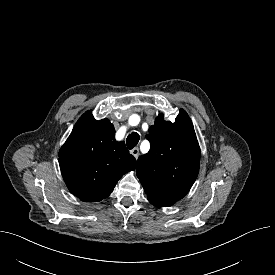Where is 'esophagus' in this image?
I'll use <instances>...</instances> for the list:
<instances>
[{
	"label": "esophagus",
	"mask_w": 275,
	"mask_h": 275,
	"mask_svg": "<svg viewBox=\"0 0 275 275\" xmlns=\"http://www.w3.org/2000/svg\"><path fill=\"white\" fill-rule=\"evenodd\" d=\"M131 154L137 159L139 157V148L135 147L131 150Z\"/></svg>",
	"instance_id": "esophagus-1"
}]
</instances>
